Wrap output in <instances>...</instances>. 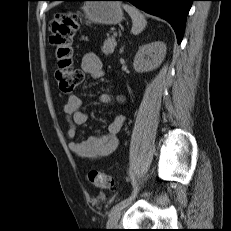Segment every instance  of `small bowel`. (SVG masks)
I'll return each instance as SVG.
<instances>
[{
  "instance_id": "c3829d8e",
  "label": "small bowel",
  "mask_w": 231,
  "mask_h": 231,
  "mask_svg": "<svg viewBox=\"0 0 231 231\" xmlns=\"http://www.w3.org/2000/svg\"><path fill=\"white\" fill-rule=\"evenodd\" d=\"M82 69L85 73L97 78L103 74V64L100 58L94 53H87L83 56L81 62ZM99 100L103 104L111 102V95L103 92L99 96ZM123 101V98H119ZM82 100L76 94H71L63 106L66 115L68 127L66 135L69 142L70 151L78 158L84 160H100L112 155L119 145L118 133L125 122V116H117L107 128L105 135L90 136L85 140H74L77 135V127L87 121V114L82 110Z\"/></svg>"
}]
</instances>
